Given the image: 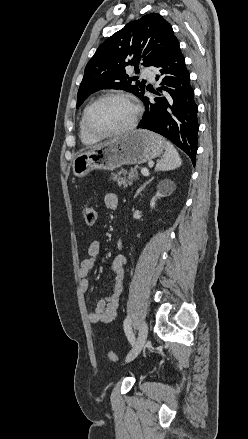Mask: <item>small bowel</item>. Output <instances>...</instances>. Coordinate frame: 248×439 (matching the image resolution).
Here are the masks:
<instances>
[{
    "label": "small bowel",
    "mask_w": 248,
    "mask_h": 439,
    "mask_svg": "<svg viewBox=\"0 0 248 439\" xmlns=\"http://www.w3.org/2000/svg\"><path fill=\"white\" fill-rule=\"evenodd\" d=\"M119 198L115 193H108L105 196V205L112 210L118 207ZM121 248V241L118 242ZM100 243L97 240L90 242L87 248V255L84 257L79 266L78 276L80 279V288L86 293L89 289L88 275L95 265L96 259L100 253ZM127 258L118 254L111 262V272L114 275L112 292L105 298L100 299L95 308L89 314L91 323H110L117 315L119 300L124 287L125 266Z\"/></svg>",
    "instance_id": "obj_1"
}]
</instances>
